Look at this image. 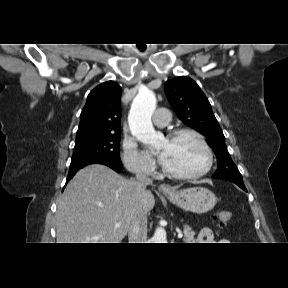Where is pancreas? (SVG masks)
Instances as JSON below:
<instances>
[{"mask_svg":"<svg viewBox=\"0 0 288 288\" xmlns=\"http://www.w3.org/2000/svg\"><path fill=\"white\" fill-rule=\"evenodd\" d=\"M195 232L188 226L184 227V243H194Z\"/></svg>","mask_w":288,"mask_h":288,"instance_id":"pancreas-1","label":"pancreas"}]
</instances>
